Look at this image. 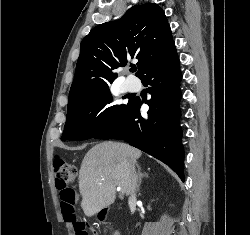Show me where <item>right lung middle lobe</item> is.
<instances>
[{"label": "right lung middle lobe", "mask_w": 250, "mask_h": 235, "mask_svg": "<svg viewBox=\"0 0 250 235\" xmlns=\"http://www.w3.org/2000/svg\"><path fill=\"white\" fill-rule=\"evenodd\" d=\"M112 101L113 98L109 87L105 86L69 102L67 119L61 140L79 141L95 138L129 104L110 105Z\"/></svg>", "instance_id": "dd1d6c3e"}]
</instances>
